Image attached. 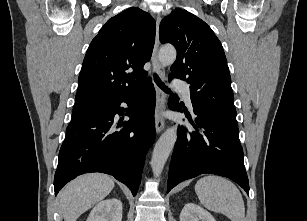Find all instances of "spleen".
I'll list each match as a JSON object with an SVG mask.
<instances>
[{"label": "spleen", "instance_id": "obj_1", "mask_svg": "<svg viewBox=\"0 0 307 221\" xmlns=\"http://www.w3.org/2000/svg\"><path fill=\"white\" fill-rule=\"evenodd\" d=\"M195 192L201 204L210 211L221 213L231 221H244L245 206L238 188L229 180L215 175L200 178Z\"/></svg>", "mask_w": 307, "mask_h": 221}]
</instances>
